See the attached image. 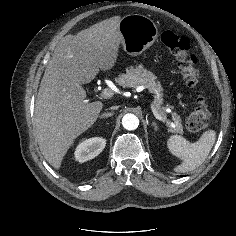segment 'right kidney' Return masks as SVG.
Segmentation results:
<instances>
[{
    "instance_id": "1",
    "label": "right kidney",
    "mask_w": 236,
    "mask_h": 236,
    "mask_svg": "<svg viewBox=\"0 0 236 236\" xmlns=\"http://www.w3.org/2000/svg\"><path fill=\"white\" fill-rule=\"evenodd\" d=\"M106 140L100 137H94L81 142L75 150V159L80 162H86L98 156L105 148Z\"/></svg>"
}]
</instances>
